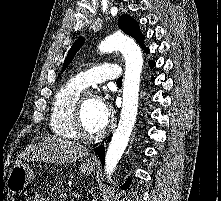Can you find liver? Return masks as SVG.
I'll use <instances>...</instances> for the list:
<instances>
[{
	"mask_svg": "<svg viewBox=\"0 0 221 201\" xmlns=\"http://www.w3.org/2000/svg\"><path fill=\"white\" fill-rule=\"evenodd\" d=\"M87 148L79 143L59 137H48L29 146L19 155V162L23 160H39L51 163H67L88 155Z\"/></svg>",
	"mask_w": 221,
	"mask_h": 201,
	"instance_id": "obj_1",
	"label": "liver"
}]
</instances>
